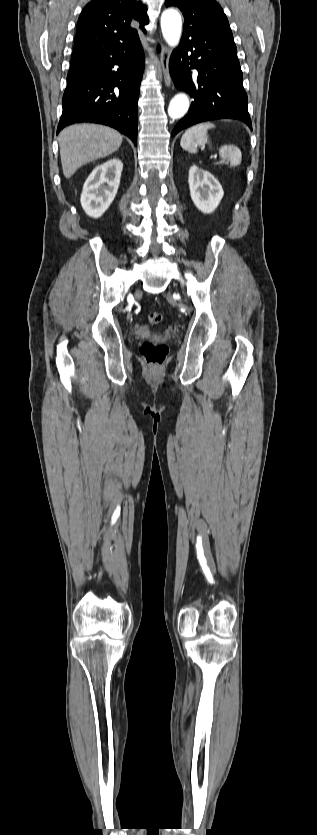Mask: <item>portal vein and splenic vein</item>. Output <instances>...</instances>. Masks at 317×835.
Wrapping results in <instances>:
<instances>
[{
  "instance_id": "18ae733b",
  "label": "portal vein and splenic vein",
  "mask_w": 317,
  "mask_h": 835,
  "mask_svg": "<svg viewBox=\"0 0 317 835\" xmlns=\"http://www.w3.org/2000/svg\"><path fill=\"white\" fill-rule=\"evenodd\" d=\"M211 159H213L214 161H216V160H217V155L212 156V157H211Z\"/></svg>"
}]
</instances>
